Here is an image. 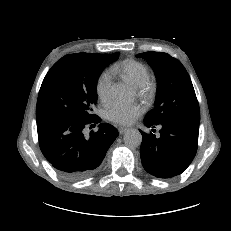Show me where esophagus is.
Listing matches in <instances>:
<instances>
[{"label":"esophagus","instance_id":"obj_1","mask_svg":"<svg viewBox=\"0 0 231 231\" xmlns=\"http://www.w3.org/2000/svg\"><path fill=\"white\" fill-rule=\"evenodd\" d=\"M127 130H128V128H126V127H119V129H118V131L121 135L124 134Z\"/></svg>","mask_w":231,"mask_h":231}]
</instances>
